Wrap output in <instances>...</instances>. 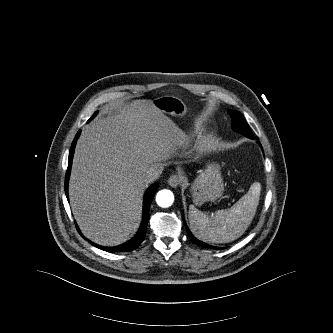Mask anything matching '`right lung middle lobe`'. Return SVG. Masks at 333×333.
Segmentation results:
<instances>
[{
    "label": "right lung middle lobe",
    "instance_id": "1",
    "mask_svg": "<svg viewBox=\"0 0 333 333\" xmlns=\"http://www.w3.org/2000/svg\"><path fill=\"white\" fill-rule=\"evenodd\" d=\"M96 115V113H94V115L89 119V121Z\"/></svg>",
    "mask_w": 333,
    "mask_h": 333
}]
</instances>
